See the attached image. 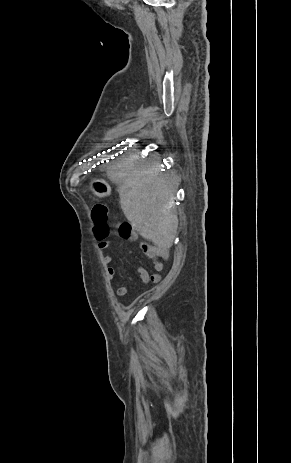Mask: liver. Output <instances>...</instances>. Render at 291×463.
I'll list each match as a JSON object with an SVG mask.
<instances>
[{
	"mask_svg": "<svg viewBox=\"0 0 291 463\" xmlns=\"http://www.w3.org/2000/svg\"><path fill=\"white\" fill-rule=\"evenodd\" d=\"M107 176L120 185L121 208L132 227L154 245L169 249L178 227L175 186L159 163L142 162L134 155L109 167Z\"/></svg>",
	"mask_w": 291,
	"mask_h": 463,
	"instance_id": "6515ba94",
	"label": "liver"
}]
</instances>
